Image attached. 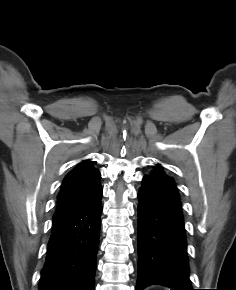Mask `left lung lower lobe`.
I'll use <instances>...</instances> for the list:
<instances>
[{
	"label": "left lung lower lobe",
	"instance_id": "0a47b994",
	"mask_svg": "<svg viewBox=\"0 0 236 290\" xmlns=\"http://www.w3.org/2000/svg\"><path fill=\"white\" fill-rule=\"evenodd\" d=\"M138 193V277L136 290L152 284L194 290L189 279L187 242L176 184L146 175Z\"/></svg>",
	"mask_w": 236,
	"mask_h": 290
}]
</instances>
